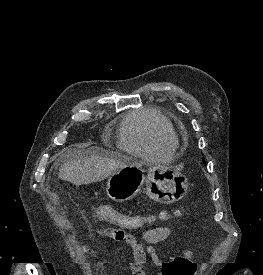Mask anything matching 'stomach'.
<instances>
[{
	"label": "stomach",
	"instance_id": "0dacf381",
	"mask_svg": "<svg viewBox=\"0 0 263 275\" xmlns=\"http://www.w3.org/2000/svg\"><path fill=\"white\" fill-rule=\"evenodd\" d=\"M142 162H131L109 176L106 193L117 202L134 198L146 183V194L154 201L169 204L184 197L188 190L187 178L165 166H151L144 175Z\"/></svg>",
	"mask_w": 263,
	"mask_h": 275
}]
</instances>
